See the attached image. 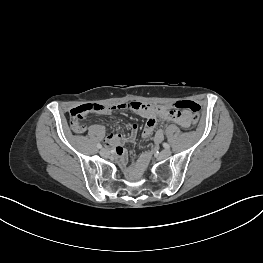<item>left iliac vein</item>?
Segmentation results:
<instances>
[{
    "instance_id": "obj_1",
    "label": "left iliac vein",
    "mask_w": 263,
    "mask_h": 263,
    "mask_svg": "<svg viewBox=\"0 0 263 263\" xmlns=\"http://www.w3.org/2000/svg\"><path fill=\"white\" fill-rule=\"evenodd\" d=\"M170 155H171V151L169 149H164L160 153V157L163 159L168 158Z\"/></svg>"
}]
</instances>
